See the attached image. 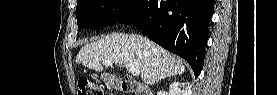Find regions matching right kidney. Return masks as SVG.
<instances>
[{
	"instance_id": "1",
	"label": "right kidney",
	"mask_w": 277,
	"mask_h": 95,
	"mask_svg": "<svg viewBox=\"0 0 277 95\" xmlns=\"http://www.w3.org/2000/svg\"><path fill=\"white\" fill-rule=\"evenodd\" d=\"M182 85H185L184 83L181 84L179 82H173L172 84H170V93L171 94H178V95H191L192 91H191V86H186L184 91L180 90V87ZM187 85V84H186Z\"/></svg>"
}]
</instances>
